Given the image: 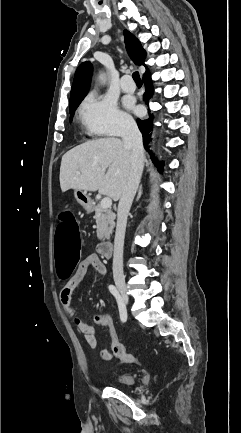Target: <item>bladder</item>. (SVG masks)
I'll list each match as a JSON object with an SVG mask.
<instances>
[{
  "label": "bladder",
  "instance_id": "31cf9c89",
  "mask_svg": "<svg viewBox=\"0 0 241 433\" xmlns=\"http://www.w3.org/2000/svg\"><path fill=\"white\" fill-rule=\"evenodd\" d=\"M115 382L120 386H131L135 382V378L132 374L121 373L115 376Z\"/></svg>",
  "mask_w": 241,
  "mask_h": 433
}]
</instances>
